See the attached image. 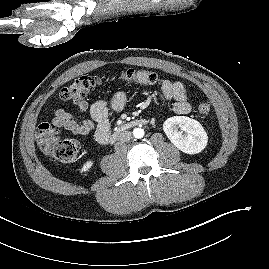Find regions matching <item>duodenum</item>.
<instances>
[{"instance_id": "duodenum-1", "label": "duodenum", "mask_w": 269, "mask_h": 269, "mask_svg": "<svg viewBox=\"0 0 269 269\" xmlns=\"http://www.w3.org/2000/svg\"><path fill=\"white\" fill-rule=\"evenodd\" d=\"M146 124H147V120L143 119V118H137V119H133V120L124 122L112 133L109 140H110V142H114L122 132H124L130 128H134V127L142 126V125H146Z\"/></svg>"}]
</instances>
